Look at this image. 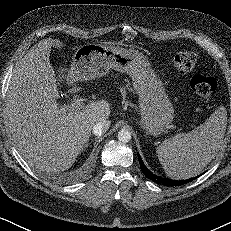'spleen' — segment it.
I'll use <instances>...</instances> for the list:
<instances>
[{"instance_id":"1","label":"spleen","mask_w":231,"mask_h":231,"mask_svg":"<svg viewBox=\"0 0 231 231\" xmlns=\"http://www.w3.org/2000/svg\"><path fill=\"white\" fill-rule=\"evenodd\" d=\"M226 126L227 111L220 106L192 131L165 140L156 149L165 173L176 180L199 175L222 146Z\"/></svg>"}]
</instances>
